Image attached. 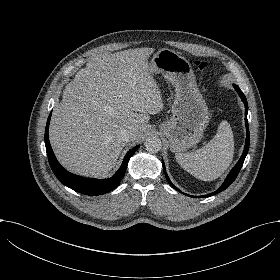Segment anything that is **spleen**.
Wrapping results in <instances>:
<instances>
[{"instance_id":"spleen-1","label":"spleen","mask_w":280,"mask_h":280,"mask_svg":"<svg viewBox=\"0 0 280 280\" xmlns=\"http://www.w3.org/2000/svg\"><path fill=\"white\" fill-rule=\"evenodd\" d=\"M234 155V139L230 124L222 121L214 138L195 152L176 153V161L194 177L212 181L230 166Z\"/></svg>"}]
</instances>
